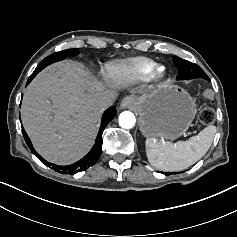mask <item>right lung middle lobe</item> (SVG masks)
I'll use <instances>...</instances> for the list:
<instances>
[{
  "instance_id": "dd1d6c3e",
  "label": "right lung middle lobe",
  "mask_w": 237,
  "mask_h": 237,
  "mask_svg": "<svg viewBox=\"0 0 237 237\" xmlns=\"http://www.w3.org/2000/svg\"><path fill=\"white\" fill-rule=\"evenodd\" d=\"M78 53H79L78 49H67V50L53 53L40 62V64L37 66L33 74H38L46 66L54 62L63 60L65 56H76L78 55Z\"/></svg>"
}]
</instances>
